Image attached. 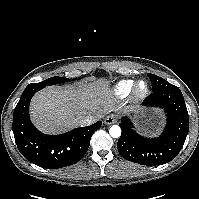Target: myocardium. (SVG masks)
I'll return each mask as SVG.
<instances>
[{"label": "myocardium", "instance_id": "f54148a6", "mask_svg": "<svg viewBox=\"0 0 199 199\" xmlns=\"http://www.w3.org/2000/svg\"><path fill=\"white\" fill-rule=\"evenodd\" d=\"M141 84L145 85V87L142 91L140 90ZM148 94H149V84H148V82H146L143 79H140V80L136 81L134 86H133V89H132V92H131V99L134 102H139V101L144 100L148 96Z\"/></svg>", "mask_w": 199, "mask_h": 199}]
</instances>
